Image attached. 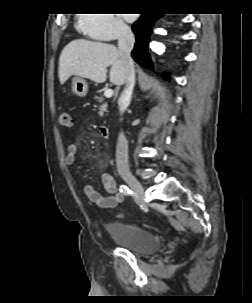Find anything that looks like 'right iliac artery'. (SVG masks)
<instances>
[{"mask_svg": "<svg viewBox=\"0 0 252 303\" xmlns=\"http://www.w3.org/2000/svg\"><path fill=\"white\" fill-rule=\"evenodd\" d=\"M120 192L124 195H131L132 191L126 185H120Z\"/></svg>", "mask_w": 252, "mask_h": 303, "instance_id": "1", "label": "right iliac artery"}]
</instances>
